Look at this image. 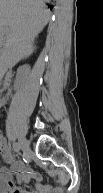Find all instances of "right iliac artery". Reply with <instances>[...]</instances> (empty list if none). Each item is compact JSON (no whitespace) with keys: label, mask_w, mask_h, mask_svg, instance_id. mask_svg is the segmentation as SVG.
<instances>
[{"label":"right iliac artery","mask_w":103,"mask_h":193,"mask_svg":"<svg viewBox=\"0 0 103 193\" xmlns=\"http://www.w3.org/2000/svg\"><path fill=\"white\" fill-rule=\"evenodd\" d=\"M13 149L15 152L19 153L20 151V144L19 143H14L13 144Z\"/></svg>","instance_id":"right-iliac-artery-1"}]
</instances>
